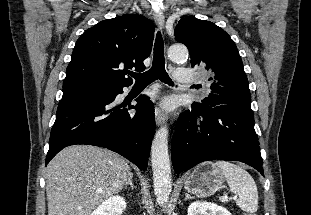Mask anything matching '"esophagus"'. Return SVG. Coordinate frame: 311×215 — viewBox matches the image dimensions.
Masks as SVG:
<instances>
[{
  "label": "esophagus",
  "mask_w": 311,
  "mask_h": 215,
  "mask_svg": "<svg viewBox=\"0 0 311 215\" xmlns=\"http://www.w3.org/2000/svg\"><path fill=\"white\" fill-rule=\"evenodd\" d=\"M156 24L159 29H164L165 17L162 11L157 10L153 13ZM167 120V116L159 108L155 109V121L158 126L162 125Z\"/></svg>",
  "instance_id": "34e87169"
}]
</instances>
